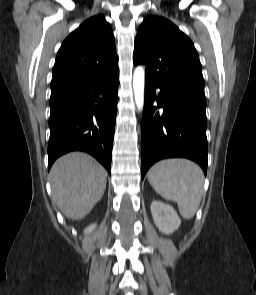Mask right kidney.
<instances>
[{
	"mask_svg": "<svg viewBox=\"0 0 256 295\" xmlns=\"http://www.w3.org/2000/svg\"><path fill=\"white\" fill-rule=\"evenodd\" d=\"M96 228V224H92L85 229V234L91 233Z\"/></svg>",
	"mask_w": 256,
	"mask_h": 295,
	"instance_id": "right-kidney-1",
	"label": "right kidney"
}]
</instances>
